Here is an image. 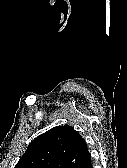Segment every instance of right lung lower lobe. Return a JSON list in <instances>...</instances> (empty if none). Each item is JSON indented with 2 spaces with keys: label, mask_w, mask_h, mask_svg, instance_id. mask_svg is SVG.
<instances>
[{
  "label": "right lung lower lobe",
  "mask_w": 127,
  "mask_h": 168,
  "mask_svg": "<svg viewBox=\"0 0 127 168\" xmlns=\"http://www.w3.org/2000/svg\"><path fill=\"white\" fill-rule=\"evenodd\" d=\"M76 168H92L91 159H88V160L82 162Z\"/></svg>",
  "instance_id": "right-lung-lower-lobe-1"
}]
</instances>
